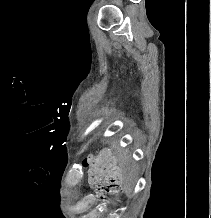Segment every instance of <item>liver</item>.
Returning a JSON list of instances; mask_svg holds the SVG:
<instances>
[{"mask_svg":"<svg viewBox=\"0 0 211 218\" xmlns=\"http://www.w3.org/2000/svg\"><path fill=\"white\" fill-rule=\"evenodd\" d=\"M118 144V142H113V146ZM121 174H122V184H124L125 192H130L131 186H134L135 182H137L138 170L137 166H134L131 162V156L126 150L121 154Z\"/></svg>","mask_w":211,"mask_h":218,"instance_id":"1","label":"liver"}]
</instances>
